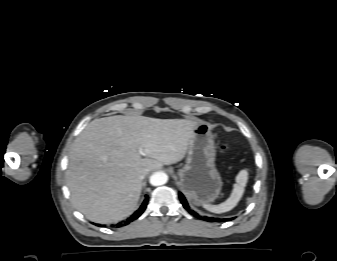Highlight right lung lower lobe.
Segmentation results:
<instances>
[{"label":"right lung lower lobe","instance_id":"right-lung-lower-lobe-1","mask_svg":"<svg viewBox=\"0 0 337 261\" xmlns=\"http://www.w3.org/2000/svg\"><path fill=\"white\" fill-rule=\"evenodd\" d=\"M147 203H148V196L146 195L145 200L143 201L140 208L137 211H135L134 214L130 216V218L123 221L122 223H118V225L119 226H125V225L129 224L130 222H132L133 220L137 219L146 209Z\"/></svg>","mask_w":337,"mask_h":261}]
</instances>
